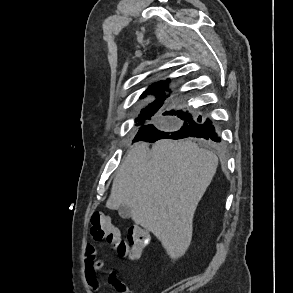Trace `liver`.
<instances>
[{
  "instance_id": "obj_1",
  "label": "liver",
  "mask_w": 293,
  "mask_h": 293,
  "mask_svg": "<svg viewBox=\"0 0 293 293\" xmlns=\"http://www.w3.org/2000/svg\"><path fill=\"white\" fill-rule=\"evenodd\" d=\"M217 156L191 140L162 139L152 149L134 144L123 159L106 202L130 208L132 220L152 232L171 258L192 240L197 205L217 169Z\"/></svg>"
}]
</instances>
